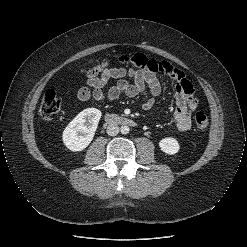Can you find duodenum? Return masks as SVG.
Here are the masks:
<instances>
[{
    "instance_id": "duodenum-1",
    "label": "duodenum",
    "mask_w": 247,
    "mask_h": 247,
    "mask_svg": "<svg viewBox=\"0 0 247 247\" xmlns=\"http://www.w3.org/2000/svg\"><path fill=\"white\" fill-rule=\"evenodd\" d=\"M106 120L110 124H121V125H129V126L135 125V122L132 119L127 117L117 116L114 114H107Z\"/></svg>"
}]
</instances>
